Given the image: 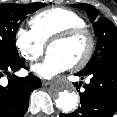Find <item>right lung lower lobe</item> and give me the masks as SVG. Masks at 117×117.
<instances>
[{"label":"right lung lower lobe","instance_id":"right-lung-lower-lobe-1","mask_svg":"<svg viewBox=\"0 0 117 117\" xmlns=\"http://www.w3.org/2000/svg\"><path fill=\"white\" fill-rule=\"evenodd\" d=\"M24 62L19 57L9 61H0V78L10 72L18 71ZM41 87V80L33 74L27 77L12 75L6 86L0 85V117H23L28 104L30 93Z\"/></svg>","mask_w":117,"mask_h":117}]
</instances>
